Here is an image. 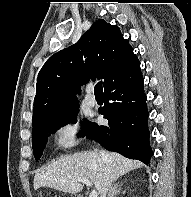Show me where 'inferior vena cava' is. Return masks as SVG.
<instances>
[{"label": "inferior vena cava", "mask_w": 191, "mask_h": 197, "mask_svg": "<svg viewBox=\"0 0 191 197\" xmlns=\"http://www.w3.org/2000/svg\"><path fill=\"white\" fill-rule=\"evenodd\" d=\"M100 156L102 158L103 161H107L108 160V154L105 151H100ZM111 179L110 178H106L104 186H103V190L101 192V196L100 197H106V194L110 193V187H111Z\"/></svg>", "instance_id": "1"}]
</instances>
